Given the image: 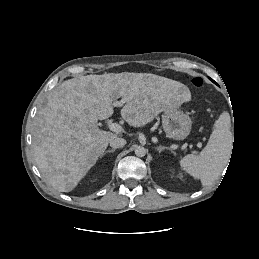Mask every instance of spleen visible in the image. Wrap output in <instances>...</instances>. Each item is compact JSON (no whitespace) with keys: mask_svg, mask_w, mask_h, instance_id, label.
Returning <instances> with one entry per match:
<instances>
[{"mask_svg":"<svg viewBox=\"0 0 259 259\" xmlns=\"http://www.w3.org/2000/svg\"><path fill=\"white\" fill-rule=\"evenodd\" d=\"M230 123L229 113L223 112L215 121L214 130L200 154L186 155L180 161L181 168L195 179H200L204 186L216 181L228 164L233 145Z\"/></svg>","mask_w":259,"mask_h":259,"instance_id":"3e777b00","label":"spleen"}]
</instances>
